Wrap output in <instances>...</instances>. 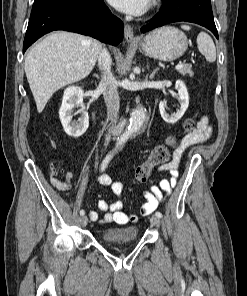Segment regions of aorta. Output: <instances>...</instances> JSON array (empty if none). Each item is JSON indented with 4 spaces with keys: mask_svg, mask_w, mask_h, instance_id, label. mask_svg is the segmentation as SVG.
<instances>
[{
    "mask_svg": "<svg viewBox=\"0 0 247 296\" xmlns=\"http://www.w3.org/2000/svg\"><path fill=\"white\" fill-rule=\"evenodd\" d=\"M146 120V111L143 107L135 109L130 116V123L127 130L118 138L117 147L123 146L129 137L137 133Z\"/></svg>",
    "mask_w": 247,
    "mask_h": 296,
    "instance_id": "1",
    "label": "aorta"
}]
</instances>
